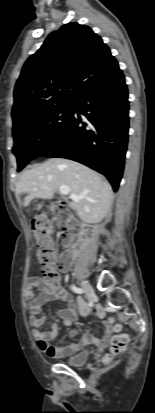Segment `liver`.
<instances>
[{"label":"liver","mask_w":155,"mask_h":413,"mask_svg":"<svg viewBox=\"0 0 155 413\" xmlns=\"http://www.w3.org/2000/svg\"><path fill=\"white\" fill-rule=\"evenodd\" d=\"M61 185L68 186L80 196L73 200L72 208L86 223H99L112 204V188L94 170L64 158H51L26 170L16 185L17 195L26 194L22 206L33 199H52Z\"/></svg>","instance_id":"6515ba94"}]
</instances>
